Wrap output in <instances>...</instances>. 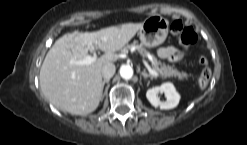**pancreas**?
Segmentation results:
<instances>
[{
  "label": "pancreas",
  "instance_id": "1",
  "mask_svg": "<svg viewBox=\"0 0 247 145\" xmlns=\"http://www.w3.org/2000/svg\"><path fill=\"white\" fill-rule=\"evenodd\" d=\"M134 44L127 45L126 47L123 48L122 52H127L130 50ZM138 50L142 53L143 49L138 48ZM152 67L153 70L156 71L160 76L167 78V77H178L179 79H185L187 78V73L186 72H179L176 68L166 65L164 63H161L158 61L155 57L152 59Z\"/></svg>",
  "mask_w": 247,
  "mask_h": 145
}]
</instances>
